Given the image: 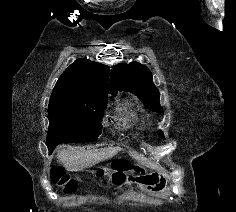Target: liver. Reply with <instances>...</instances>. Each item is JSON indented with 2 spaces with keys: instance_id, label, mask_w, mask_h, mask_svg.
<instances>
[{
  "instance_id": "obj_1",
  "label": "liver",
  "mask_w": 236,
  "mask_h": 212,
  "mask_svg": "<svg viewBox=\"0 0 236 212\" xmlns=\"http://www.w3.org/2000/svg\"><path fill=\"white\" fill-rule=\"evenodd\" d=\"M121 150L120 147H107L95 150H85L81 147H76L70 150L59 151L57 158L68 171H81L112 158Z\"/></svg>"
}]
</instances>
